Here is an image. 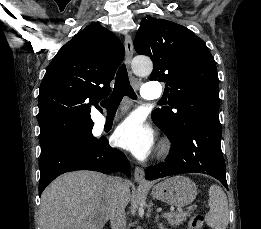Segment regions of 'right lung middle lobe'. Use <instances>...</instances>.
<instances>
[{
  "label": "right lung middle lobe",
  "instance_id": "dd1d6c3e",
  "mask_svg": "<svg viewBox=\"0 0 261 229\" xmlns=\"http://www.w3.org/2000/svg\"><path fill=\"white\" fill-rule=\"evenodd\" d=\"M99 140L94 138L91 131H89V132H86L84 134H81V135L75 137L74 139L70 140L69 142H76V143H81V144H95ZM69 142H67V143H69ZM55 148L56 147H53V148L41 147V155H44V154L52 151Z\"/></svg>",
  "mask_w": 261,
  "mask_h": 229
}]
</instances>
